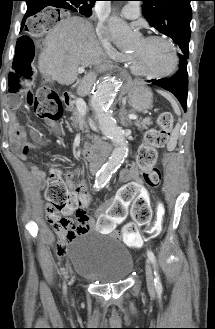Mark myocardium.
Masks as SVG:
<instances>
[{
  "label": "myocardium",
  "instance_id": "myocardium-1",
  "mask_svg": "<svg viewBox=\"0 0 215 329\" xmlns=\"http://www.w3.org/2000/svg\"><path fill=\"white\" fill-rule=\"evenodd\" d=\"M143 39L145 41L163 40V41L167 42L170 45L173 55H174V64L169 71H166L163 73H149V72L144 71L139 66L138 61L134 55H129V62H130L132 71L138 75H141V76H144V77H147L150 79H163V78H167V77L173 75L177 71L178 66H179V52H178V48H177L175 42L168 36L162 35V34L147 35V36L143 37Z\"/></svg>",
  "mask_w": 215,
  "mask_h": 329
}]
</instances>
